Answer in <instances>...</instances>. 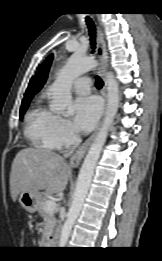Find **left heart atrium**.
I'll return each instance as SVG.
<instances>
[{
  "label": "left heart atrium",
  "instance_id": "39dd6f15",
  "mask_svg": "<svg viewBox=\"0 0 162 261\" xmlns=\"http://www.w3.org/2000/svg\"><path fill=\"white\" fill-rule=\"evenodd\" d=\"M73 121L80 132H89L95 125L100 114V102L94 96L77 98L73 103Z\"/></svg>",
  "mask_w": 162,
  "mask_h": 261
}]
</instances>
